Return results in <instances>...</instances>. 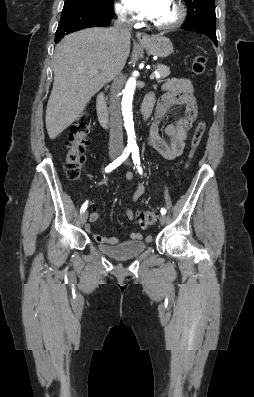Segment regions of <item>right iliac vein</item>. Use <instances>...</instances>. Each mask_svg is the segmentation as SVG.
Instances as JSON below:
<instances>
[{"label": "right iliac vein", "instance_id": "right-iliac-vein-1", "mask_svg": "<svg viewBox=\"0 0 254 397\" xmlns=\"http://www.w3.org/2000/svg\"><path fill=\"white\" fill-rule=\"evenodd\" d=\"M117 157H118V153H116V152L110 154V158H111V159H115V158H117ZM87 218H88V212L85 211V212H83V213L81 214V216H80V223H81L82 225L85 224V222L87 221Z\"/></svg>", "mask_w": 254, "mask_h": 397}]
</instances>
